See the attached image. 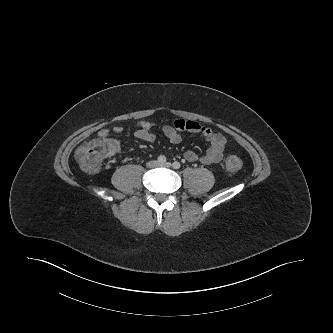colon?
<instances>
[{
	"mask_svg": "<svg viewBox=\"0 0 333 333\" xmlns=\"http://www.w3.org/2000/svg\"><path fill=\"white\" fill-rule=\"evenodd\" d=\"M112 153L108 143L97 138L82 144L76 151L75 157L80 167L87 172H96L102 162ZM227 171L235 173L241 169V159L236 155H229L225 160Z\"/></svg>",
	"mask_w": 333,
	"mask_h": 333,
	"instance_id": "colon-1",
	"label": "colon"
}]
</instances>
